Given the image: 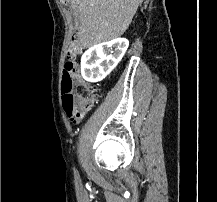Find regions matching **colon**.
Listing matches in <instances>:
<instances>
[{"label": "colon", "mask_w": 217, "mask_h": 202, "mask_svg": "<svg viewBox=\"0 0 217 202\" xmlns=\"http://www.w3.org/2000/svg\"><path fill=\"white\" fill-rule=\"evenodd\" d=\"M75 41H82V36H75ZM77 47H68L65 60H68L66 67L63 68V104L65 106L66 117L71 119H82V112L91 111V107L94 103H97V94L90 93L94 91V86H87V80H76L80 77L83 63H79L78 59H75ZM74 111V112H71Z\"/></svg>", "instance_id": "1"}]
</instances>
